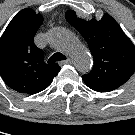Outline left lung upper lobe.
Here are the masks:
<instances>
[{
  "label": "left lung upper lobe",
  "mask_w": 135,
  "mask_h": 135,
  "mask_svg": "<svg viewBox=\"0 0 135 135\" xmlns=\"http://www.w3.org/2000/svg\"><path fill=\"white\" fill-rule=\"evenodd\" d=\"M65 18L93 55V69L82 76L85 84L94 91L109 92L126 83L135 72V46L118 23L107 13L100 21L80 19L75 11H68Z\"/></svg>",
  "instance_id": "5c2ea615"
}]
</instances>
